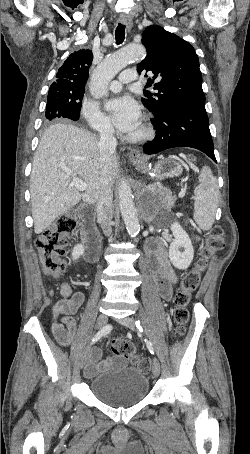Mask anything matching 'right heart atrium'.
<instances>
[{
  "instance_id": "d8ad5b80",
  "label": "right heart atrium",
  "mask_w": 250,
  "mask_h": 454,
  "mask_svg": "<svg viewBox=\"0 0 250 454\" xmlns=\"http://www.w3.org/2000/svg\"><path fill=\"white\" fill-rule=\"evenodd\" d=\"M81 116L95 132L105 135L113 132V127L109 120L94 104L85 101L81 107Z\"/></svg>"
}]
</instances>
